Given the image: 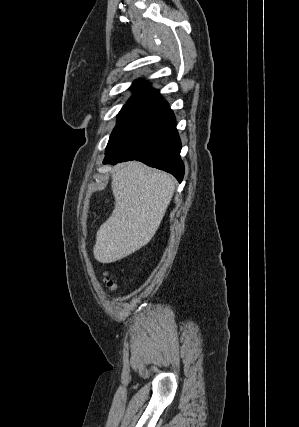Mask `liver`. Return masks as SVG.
Wrapping results in <instances>:
<instances>
[{"label": "liver", "mask_w": 299, "mask_h": 427, "mask_svg": "<svg viewBox=\"0 0 299 427\" xmlns=\"http://www.w3.org/2000/svg\"><path fill=\"white\" fill-rule=\"evenodd\" d=\"M115 208L96 234L93 248L100 263H113L139 250L155 235L175 190L166 172L136 161L112 171Z\"/></svg>", "instance_id": "6515ba94"}]
</instances>
